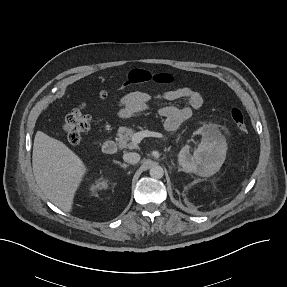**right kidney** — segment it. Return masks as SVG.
<instances>
[{"mask_svg":"<svg viewBox=\"0 0 287 287\" xmlns=\"http://www.w3.org/2000/svg\"><path fill=\"white\" fill-rule=\"evenodd\" d=\"M107 187H108L107 181H106V180H103V179H99L98 181L95 182V184H93V185L90 187V191H91L93 194H96L97 191L106 189Z\"/></svg>","mask_w":287,"mask_h":287,"instance_id":"ca27d5eb","label":"right kidney"}]
</instances>
